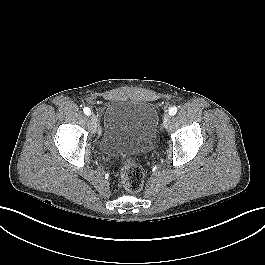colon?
<instances>
[{"label":"colon","mask_w":265,"mask_h":265,"mask_svg":"<svg viewBox=\"0 0 265 265\" xmlns=\"http://www.w3.org/2000/svg\"><path fill=\"white\" fill-rule=\"evenodd\" d=\"M144 169L134 159L123 160L120 166V187L127 192H138L144 183Z\"/></svg>","instance_id":"colon-1"}]
</instances>
